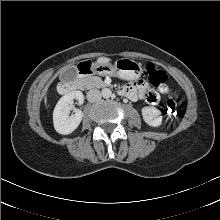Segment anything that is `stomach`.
Segmentation results:
<instances>
[{"label":"stomach","mask_w":220,"mask_h":220,"mask_svg":"<svg viewBox=\"0 0 220 220\" xmlns=\"http://www.w3.org/2000/svg\"><path fill=\"white\" fill-rule=\"evenodd\" d=\"M91 71L99 75L118 76L125 80H135L143 72L142 65L130 58H121L110 63L100 64L98 62L91 64Z\"/></svg>","instance_id":"obj_1"}]
</instances>
